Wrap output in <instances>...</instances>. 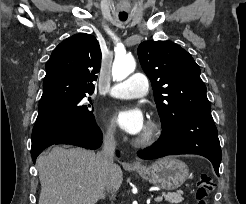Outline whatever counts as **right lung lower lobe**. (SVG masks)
<instances>
[{
  "label": "right lung lower lobe",
  "instance_id": "1",
  "mask_svg": "<svg viewBox=\"0 0 246 204\" xmlns=\"http://www.w3.org/2000/svg\"><path fill=\"white\" fill-rule=\"evenodd\" d=\"M101 143L102 133L94 120L83 123L40 117L37 118L32 131L31 156L35 163L37 156L53 144H71L97 149Z\"/></svg>",
  "mask_w": 246,
  "mask_h": 204
}]
</instances>
